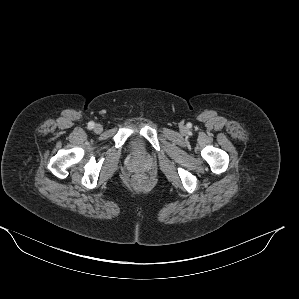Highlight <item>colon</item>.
I'll list each match as a JSON object with an SVG mask.
<instances>
[{
	"mask_svg": "<svg viewBox=\"0 0 299 299\" xmlns=\"http://www.w3.org/2000/svg\"><path fill=\"white\" fill-rule=\"evenodd\" d=\"M133 183L137 187H144L147 184V178L144 175L139 174L135 176Z\"/></svg>",
	"mask_w": 299,
	"mask_h": 299,
	"instance_id": "obj_1",
	"label": "colon"
}]
</instances>
